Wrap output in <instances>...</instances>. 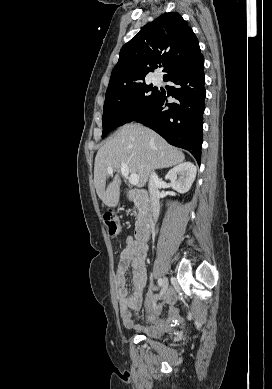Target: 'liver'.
Wrapping results in <instances>:
<instances>
[{
  "label": "liver",
  "mask_w": 272,
  "mask_h": 389,
  "mask_svg": "<svg viewBox=\"0 0 272 389\" xmlns=\"http://www.w3.org/2000/svg\"><path fill=\"white\" fill-rule=\"evenodd\" d=\"M184 154L169 145L160 135L137 123L126 124L98 150L94 165V183L98 197L108 207H115L120 196L121 164L139 177V188L144 187L154 169L168 168L184 161ZM116 172L106 186L107 168Z\"/></svg>",
  "instance_id": "6515ba94"
}]
</instances>
